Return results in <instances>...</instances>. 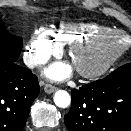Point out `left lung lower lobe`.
Masks as SVG:
<instances>
[{
	"label": "left lung lower lobe",
	"mask_w": 131,
	"mask_h": 131,
	"mask_svg": "<svg viewBox=\"0 0 131 131\" xmlns=\"http://www.w3.org/2000/svg\"><path fill=\"white\" fill-rule=\"evenodd\" d=\"M71 93L69 131H131V78L107 76Z\"/></svg>",
	"instance_id": "0a47b994"
}]
</instances>
